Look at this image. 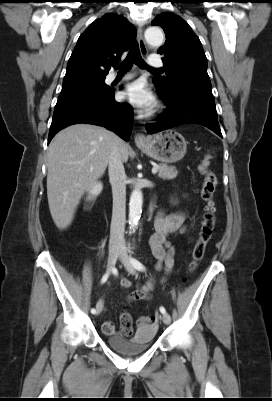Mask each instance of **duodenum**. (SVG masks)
I'll return each mask as SVG.
<instances>
[{
	"label": "duodenum",
	"mask_w": 272,
	"mask_h": 401,
	"mask_svg": "<svg viewBox=\"0 0 272 401\" xmlns=\"http://www.w3.org/2000/svg\"><path fill=\"white\" fill-rule=\"evenodd\" d=\"M150 211H152V206H150Z\"/></svg>",
	"instance_id": "obj_1"
}]
</instances>
